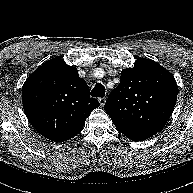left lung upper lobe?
<instances>
[{"label":"left lung upper lobe","instance_id":"5c2ea615","mask_svg":"<svg viewBox=\"0 0 193 193\" xmlns=\"http://www.w3.org/2000/svg\"><path fill=\"white\" fill-rule=\"evenodd\" d=\"M173 75L160 64L138 58L133 68L122 70L119 85L109 94L104 109L116 129L141 141L159 132L177 101Z\"/></svg>","mask_w":193,"mask_h":193}]
</instances>
